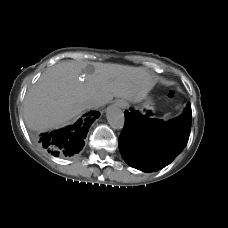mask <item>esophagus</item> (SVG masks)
I'll list each match as a JSON object with an SVG mask.
<instances>
[{
    "label": "esophagus",
    "instance_id": "obj_1",
    "mask_svg": "<svg viewBox=\"0 0 228 228\" xmlns=\"http://www.w3.org/2000/svg\"><path fill=\"white\" fill-rule=\"evenodd\" d=\"M116 105L119 106V107H122V108L124 106V104L122 103V101H119V100L116 102Z\"/></svg>",
    "mask_w": 228,
    "mask_h": 228
}]
</instances>
